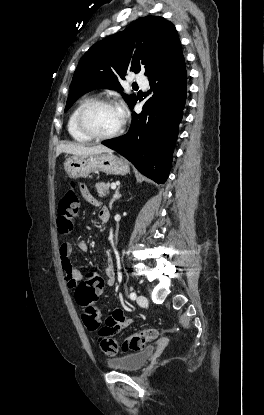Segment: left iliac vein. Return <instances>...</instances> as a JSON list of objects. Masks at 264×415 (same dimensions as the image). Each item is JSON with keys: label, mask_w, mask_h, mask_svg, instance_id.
Returning <instances> with one entry per match:
<instances>
[{"label": "left iliac vein", "mask_w": 264, "mask_h": 415, "mask_svg": "<svg viewBox=\"0 0 264 415\" xmlns=\"http://www.w3.org/2000/svg\"><path fill=\"white\" fill-rule=\"evenodd\" d=\"M137 303L140 306H145V305L148 304V300L144 295H139L138 298H137Z\"/></svg>", "instance_id": "1"}]
</instances>
